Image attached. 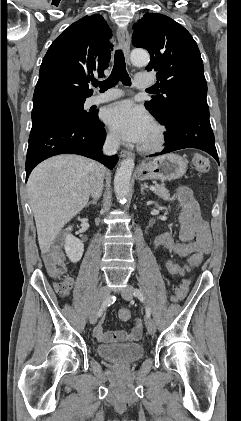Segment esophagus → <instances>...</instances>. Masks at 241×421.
<instances>
[{
	"instance_id": "1",
	"label": "esophagus",
	"mask_w": 241,
	"mask_h": 421,
	"mask_svg": "<svg viewBox=\"0 0 241 421\" xmlns=\"http://www.w3.org/2000/svg\"><path fill=\"white\" fill-rule=\"evenodd\" d=\"M117 38H118V42L120 47L123 50L125 59H126V63L128 66H130V61H129V52H130V37H129V33L126 29H121L119 28L117 30ZM121 157L126 158V157H132L133 154L130 151L127 150H122L120 152Z\"/></svg>"
}]
</instances>
